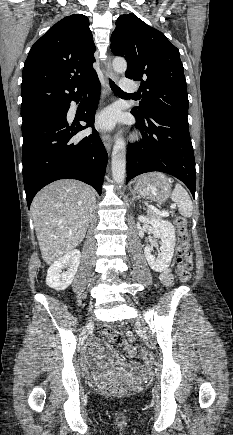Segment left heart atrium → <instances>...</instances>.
Segmentation results:
<instances>
[{
    "instance_id": "1",
    "label": "left heart atrium",
    "mask_w": 233,
    "mask_h": 435,
    "mask_svg": "<svg viewBox=\"0 0 233 435\" xmlns=\"http://www.w3.org/2000/svg\"><path fill=\"white\" fill-rule=\"evenodd\" d=\"M116 120V111L112 108H109L98 115L96 119V125L101 129H111L115 125Z\"/></svg>"
}]
</instances>
